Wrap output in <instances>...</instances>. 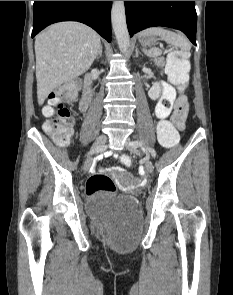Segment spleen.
I'll use <instances>...</instances> for the list:
<instances>
[{
  "mask_svg": "<svg viewBox=\"0 0 233 295\" xmlns=\"http://www.w3.org/2000/svg\"><path fill=\"white\" fill-rule=\"evenodd\" d=\"M149 35L160 36L167 43L181 48V50L184 52L186 58L189 56L188 51L190 50V45L186 41V39L183 36H181L180 34H177V33L172 32L170 30H166L161 27H152V28H148L146 30H143L139 34V38L144 37V36H149ZM145 54L149 57H157L161 54V51L157 48H152L148 51H145Z\"/></svg>",
  "mask_w": 233,
  "mask_h": 295,
  "instance_id": "1",
  "label": "spleen"
}]
</instances>
